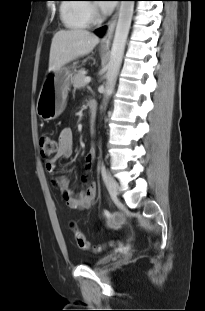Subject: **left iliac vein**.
<instances>
[{"instance_id":"left-iliac-vein-1","label":"left iliac vein","mask_w":205,"mask_h":311,"mask_svg":"<svg viewBox=\"0 0 205 311\" xmlns=\"http://www.w3.org/2000/svg\"><path fill=\"white\" fill-rule=\"evenodd\" d=\"M105 182H106V187H107L110 195L112 197H117L119 194V190H120L117 181L113 177H111L110 175H107Z\"/></svg>"}]
</instances>
